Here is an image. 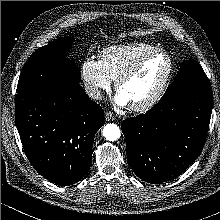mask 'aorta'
<instances>
[{
	"instance_id": "1",
	"label": "aorta",
	"mask_w": 220,
	"mask_h": 220,
	"mask_svg": "<svg viewBox=\"0 0 220 220\" xmlns=\"http://www.w3.org/2000/svg\"><path fill=\"white\" fill-rule=\"evenodd\" d=\"M120 135H121L120 129L114 123L107 124L103 128V136L108 141H115V140L119 139Z\"/></svg>"
}]
</instances>
